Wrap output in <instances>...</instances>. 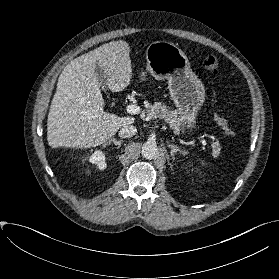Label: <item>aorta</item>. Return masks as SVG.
<instances>
[{
    "label": "aorta",
    "instance_id": "762f6f07",
    "mask_svg": "<svg viewBox=\"0 0 279 279\" xmlns=\"http://www.w3.org/2000/svg\"><path fill=\"white\" fill-rule=\"evenodd\" d=\"M157 145L155 142L147 141L142 146V156L146 159H154L157 156Z\"/></svg>",
    "mask_w": 279,
    "mask_h": 279
}]
</instances>
